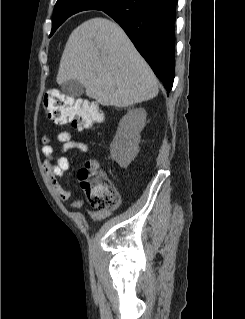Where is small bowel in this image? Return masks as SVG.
<instances>
[{"label":"small bowel","instance_id":"obj_1","mask_svg":"<svg viewBox=\"0 0 245 319\" xmlns=\"http://www.w3.org/2000/svg\"><path fill=\"white\" fill-rule=\"evenodd\" d=\"M56 140L59 144H61L62 152H68L71 150L87 152L89 150L87 143L73 139L68 131L58 132ZM42 154L45 157L43 167L51 187L64 202L69 201L72 197V192L63 187L61 184V180L64 178L65 172L70 168L69 159L66 156L56 155L54 153L52 140L48 135H44L42 137ZM82 204L83 201L81 199H77L72 202L71 206L74 209H80ZM110 214L111 213L109 211L105 210L87 212V215L94 221H101L107 218Z\"/></svg>","mask_w":245,"mask_h":319}]
</instances>
